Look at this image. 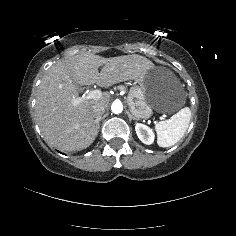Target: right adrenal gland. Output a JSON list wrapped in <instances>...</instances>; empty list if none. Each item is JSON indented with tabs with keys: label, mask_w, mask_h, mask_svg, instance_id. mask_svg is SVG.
Segmentation results:
<instances>
[{
	"label": "right adrenal gland",
	"mask_w": 236,
	"mask_h": 236,
	"mask_svg": "<svg viewBox=\"0 0 236 236\" xmlns=\"http://www.w3.org/2000/svg\"><path fill=\"white\" fill-rule=\"evenodd\" d=\"M101 118H102V117H100L99 120H98V122H96V133H97V130L99 129V127H100V124H99V123H100ZM96 136H97V134H96Z\"/></svg>",
	"instance_id": "2a0ac1e0"
}]
</instances>
